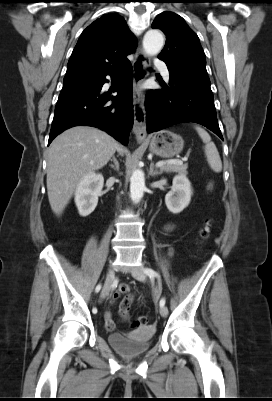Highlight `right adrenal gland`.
I'll return each instance as SVG.
<instances>
[{
    "label": "right adrenal gland",
    "mask_w": 272,
    "mask_h": 401,
    "mask_svg": "<svg viewBox=\"0 0 272 401\" xmlns=\"http://www.w3.org/2000/svg\"><path fill=\"white\" fill-rule=\"evenodd\" d=\"M111 161H113L114 164H110L109 166H110L112 169L118 171V170H119V162H118V160L116 159V157L113 156Z\"/></svg>",
    "instance_id": "2a0ac1e0"
}]
</instances>
